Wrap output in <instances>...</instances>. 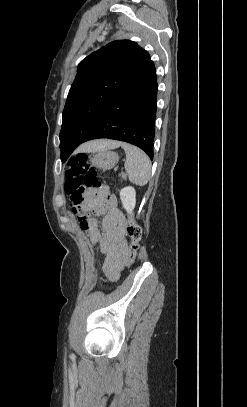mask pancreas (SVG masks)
<instances>
[{"label": "pancreas", "mask_w": 247, "mask_h": 407, "mask_svg": "<svg viewBox=\"0 0 247 407\" xmlns=\"http://www.w3.org/2000/svg\"><path fill=\"white\" fill-rule=\"evenodd\" d=\"M122 179H126V175L125 174H121Z\"/></svg>", "instance_id": "obj_1"}]
</instances>
